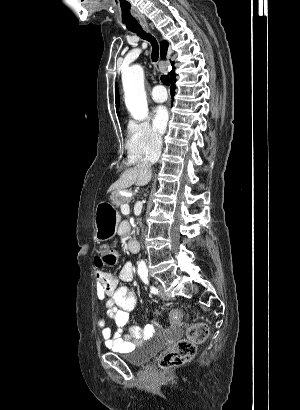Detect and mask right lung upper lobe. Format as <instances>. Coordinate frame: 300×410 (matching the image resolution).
<instances>
[{
	"label": "right lung upper lobe",
	"instance_id": "right-lung-upper-lobe-1",
	"mask_svg": "<svg viewBox=\"0 0 300 410\" xmlns=\"http://www.w3.org/2000/svg\"><path fill=\"white\" fill-rule=\"evenodd\" d=\"M167 49H168V42H167V41H163V42L161 43V56H162V58H164V56L166 55ZM171 65L173 66V62H171ZM169 75H170V78L174 75V67H173L172 70L169 72ZM115 90H116V109H118V107H119V95H118V87H117V85H116V87H115ZM117 114H119L118 111H117Z\"/></svg>",
	"mask_w": 300,
	"mask_h": 410
}]
</instances>
